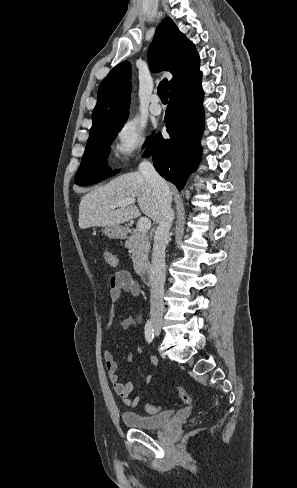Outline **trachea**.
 <instances>
[{"label":"trachea","mask_w":297,"mask_h":488,"mask_svg":"<svg viewBox=\"0 0 297 488\" xmlns=\"http://www.w3.org/2000/svg\"><path fill=\"white\" fill-rule=\"evenodd\" d=\"M157 94L161 99L162 103H167L169 95V83L167 79H163L157 88Z\"/></svg>","instance_id":"obj_1"}]
</instances>
